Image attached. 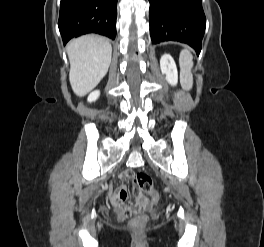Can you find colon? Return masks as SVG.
Wrapping results in <instances>:
<instances>
[{
    "label": "colon",
    "instance_id": "colon-1",
    "mask_svg": "<svg viewBox=\"0 0 264 247\" xmlns=\"http://www.w3.org/2000/svg\"><path fill=\"white\" fill-rule=\"evenodd\" d=\"M134 186L140 193L151 194L155 200L159 198L158 194L153 190V180L147 173H136L134 176ZM145 203L146 199L141 198L134 202L123 200L117 203V205L124 215L130 217V225L134 228H140L148 219V216L144 211Z\"/></svg>",
    "mask_w": 264,
    "mask_h": 247
}]
</instances>
